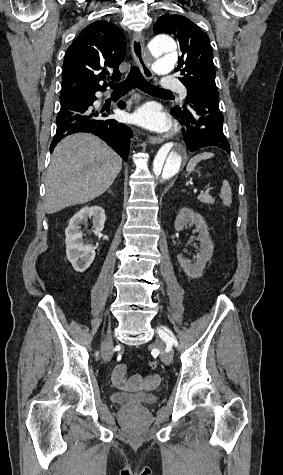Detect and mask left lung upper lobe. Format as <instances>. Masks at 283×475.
Segmentation results:
<instances>
[{
  "mask_svg": "<svg viewBox=\"0 0 283 475\" xmlns=\"http://www.w3.org/2000/svg\"><path fill=\"white\" fill-rule=\"evenodd\" d=\"M153 30L155 34L173 35L180 44L182 55L177 71H181L183 77L179 80L188 90L186 104L193 92L218 94L212 47L208 36L196 24L182 15H163Z\"/></svg>",
  "mask_w": 283,
  "mask_h": 475,
  "instance_id": "5c2ea615",
  "label": "left lung upper lobe"
}]
</instances>
